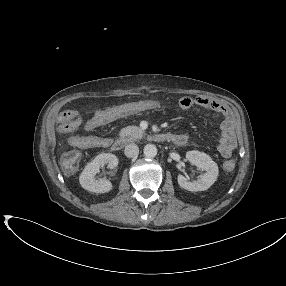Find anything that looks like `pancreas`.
Returning <instances> with one entry per match:
<instances>
[{"label":"pancreas","mask_w":286,"mask_h":286,"mask_svg":"<svg viewBox=\"0 0 286 286\" xmlns=\"http://www.w3.org/2000/svg\"><path fill=\"white\" fill-rule=\"evenodd\" d=\"M145 132L138 126H127L122 128L119 132V137L124 142H133L141 139Z\"/></svg>","instance_id":"1"}]
</instances>
